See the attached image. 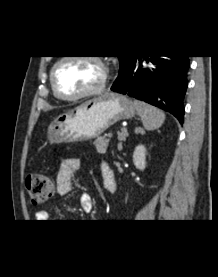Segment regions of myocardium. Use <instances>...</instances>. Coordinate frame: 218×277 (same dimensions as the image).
<instances>
[{"instance_id": "1", "label": "myocardium", "mask_w": 218, "mask_h": 277, "mask_svg": "<svg viewBox=\"0 0 218 277\" xmlns=\"http://www.w3.org/2000/svg\"><path fill=\"white\" fill-rule=\"evenodd\" d=\"M72 59L85 60V61H89V62L93 63L94 65H96L100 71V80L94 87H92L78 95L65 96L60 93V91L58 90V88L56 86L55 73H56L57 68L61 64H63L66 61L72 60ZM108 77H109V69H108L107 65L104 63V61L100 57L95 56V55H64V56L60 57L54 63V65L52 66L51 71H50V83H51L53 93L55 94V96L57 98L64 100V101H77V100L91 97V96L101 93L102 91H104V89L107 85Z\"/></svg>"}]
</instances>
